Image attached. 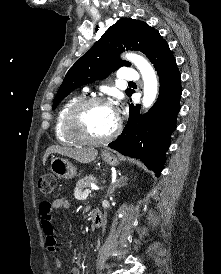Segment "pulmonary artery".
<instances>
[{"label":"pulmonary artery","instance_id":"pulmonary-artery-1","mask_svg":"<svg viewBox=\"0 0 221 274\" xmlns=\"http://www.w3.org/2000/svg\"><path fill=\"white\" fill-rule=\"evenodd\" d=\"M118 78L123 81H135L138 79V73L133 68L124 67L120 69Z\"/></svg>","mask_w":221,"mask_h":274}]
</instances>
